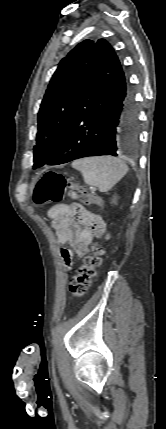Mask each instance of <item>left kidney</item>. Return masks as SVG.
Here are the masks:
<instances>
[{
	"instance_id": "5707ae66",
	"label": "left kidney",
	"mask_w": 166,
	"mask_h": 429,
	"mask_svg": "<svg viewBox=\"0 0 166 429\" xmlns=\"http://www.w3.org/2000/svg\"><path fill=\"white\" fill-rule=\"evenodd\" d=\"M111 203L112 204H116L117 203V197L115 196V197H113V199L111 200Z\"/></svg>"
}]
</instances>
